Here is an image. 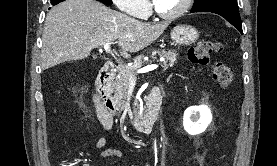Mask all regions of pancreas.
Listing matches in <instances>:
<instances>
[{"instance_id":"obj_1","label":"pancreas","mask_w":277,"mask_h":166,"mask_svg":"<svg viewBox=\"0 0 277 166\" xmlns=\"http://www.w3.org/2000/svg\"><path fill=\"white\" fill-rule=\"evenodd\" d=\"M158 54L160 57H164L165 60L162 63V67L167 69L172 67L177 59L176 50H158L153 51L152 55ZM144 64V55H139L134 59L132 66H118L117 68V78L112 83V90L114 91V96L112 97L115 101L117 107L120 110H125L131 113L130 106L128 102L131 97L128 95L129 80L131 77L136 76V71L142 67ZM133 113L137 116L139 113V106L134 108Z\"/></svg>"}]
</instances>
